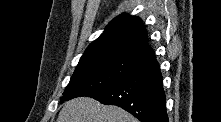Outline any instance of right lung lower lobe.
I'll return each instance as SVG.
<instances>
[{
	"mask_svg": "<svg viewBox=\"0 0 221 122\" xmlns=\"http://www.w3.org/2000/svg\"><path fill=\"white\" fill-rule=\"evenodd\" d=\"M88 97L119 106L141 122H168L162 75L153 52L138 60L120 80Z\"/></svg>",
	"mask_w": 221,
	"mask_h": 122,
	"instance_id": "obj_1",
	"label": "right lung lower lobe"
}]
</instances>
